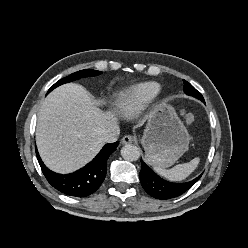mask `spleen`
Returning a JSON list of instances; mask_svg holds the SVG:
<instances>
[{"label":"spleen","mask_w":248,"mask_h":248,"mask_svg":"<svg viewBox=\"0 0 248 248\" xmlns=\"http://www.w3.org/2000/svg\"><path fill=\"white\" fill-rule=\"evenodd\" d=\"M200 159L194 158L188 163L178 164L171 169L155 167L154 170L170 181H181L187 178L198 166Z\"/></svg>","instance_id":"3e777b00"}]
</instances>
